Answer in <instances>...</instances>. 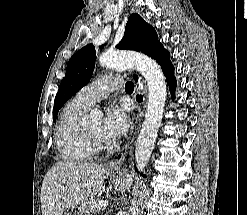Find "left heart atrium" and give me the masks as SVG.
<instances>
[{"instance_id":"left-heart-atrium-1","label":"left heart atrium","mask_w":247,"mask_h":215,"mask_svg":"<svg viewBox=\"0 0 247 215\" xmlns=\"http://www.w3.org/2000/svg\"><path fill=\"white\" fill-rule=\"evenodd\" d=\"M129 127L126 108L124 105H110L106 110L103 137L115 140L123 136Z\"/></svg>"}]
</instances>
